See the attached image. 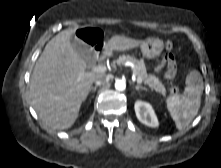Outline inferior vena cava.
<instances>
[{
    "label": "inferior vena cava",
    "instance_id": "inferior-vena-cava-1",
    "mask_svg": "<svg viewBox=\"0 0 221 168\" xmlns=\"http://www.w3.org/2000/svg\"><path fill=\"white\" fill-rule=\"evenodd\" d=\"M105 82H107V77L105 75H99L95 79L96 85H101V84H104Z\"/></svg>",
    "mask_w": 221,
    "mask_h": 168
}]
</instances>
